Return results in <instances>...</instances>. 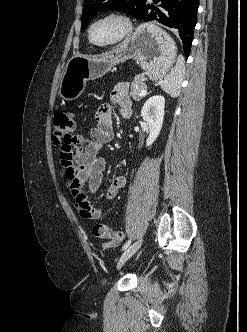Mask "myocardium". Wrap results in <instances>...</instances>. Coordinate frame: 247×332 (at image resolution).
<instances>
[{
    "label": "myocardium",
    "instance_id": "1",
    "mask_svg": "<svg viewBox=\"0 0 247 332\" xmlns=\"http://www.w3.org/2000/svg\"><path fill=\"white\" fill-rule=\"evenodd\" d=\"M106 19L118 20L122 24V27H123L122 32L116 39H114L110 42L96 43L92 40V36H91L92 29L95 24H97L98 22H100L102 20H106ZM132 30H133V25H132L130 18L127 15L120 13V12H108V13H105V14L97 17L90 23V25L88 26V29H87V37H88L89 42L92 45H94L96 47H100V48H107V47H112V46L118 45L121 42H123L132 33Z\"/></svg>",
    "mask_w": 247,
    "mask_h": 332
}]
</instances>
